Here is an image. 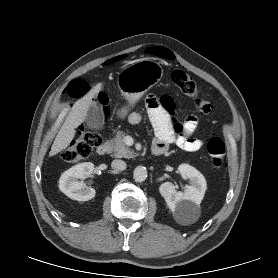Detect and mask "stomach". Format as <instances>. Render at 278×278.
I'll list each match as a JSON object with an SVG mask.
<instances>
[{
  "instance_id": "stomach-1",
  "label": "stomach",
  "mask_w": 278,
  "mask_h": 278,
  "mask_svg": "<svg viewBox=\"0 0 278 278\" xmlns=\"http://www.w3.org/2000/svg\"><path fill=\"white\" fill-rule=\"evenodd\" d=\"M163 74L162 66L150 59H141L125 67L118 74L117 84L128 104L116 111L117 116L124 118L143 95L162 79Z\"/></svg>"
}]
</instances>
